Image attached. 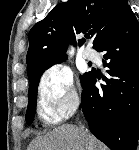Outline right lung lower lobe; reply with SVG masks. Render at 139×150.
Here are the masks:
<instances>
[{
	"instance_id": "obj_1",
	"label": "right lung lower lobe",
	"mask_w": 139,
	"mask_h": 150,
	"mask_svg": "<svg viewBox=\"0 0 139 150\" xmlns=\"http://www.w3.org/2000/svg\"><path fill=\"white\" fill-rule=\"evenodd\" d=\"M108 76L83 80L81 107L90 131L111 150H136L139 138V24L130 9L96 49ZM99 78V76L97 75Z\"/></svg>"
}]
</instances>
